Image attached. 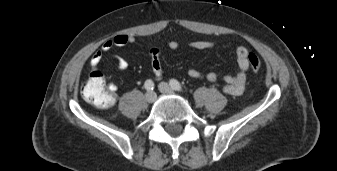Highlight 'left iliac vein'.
Returning <instances> with one entry per match:
<instances>
[{"label":"left iliac vein","instance_id":"4c4485c4","mask_svg":"<svg viewBox=\"0 0 337 171\" xmlns=\"http://www.w3.org/2000/svg\"><path fill=\"white\" fill-rule=\"evenodd\" d=\"M160 92L165 94H174L173 89L166 82H161L158 86Z\"/></svg>","mask_w":337,"mask_h":171}]
</instances>
